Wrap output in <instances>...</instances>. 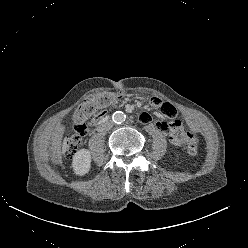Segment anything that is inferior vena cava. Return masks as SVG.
<instances>
[{
    "instance_id": "obj_1",
    "label": "inferior vena cava",
    "mask_w": 248,
    "mask_h": 248,
    "mask_svg": "<svg viewBox=\"0 0 248 248\" xmlns=\"http://www.w3.org/2000/svg\"><path fill=\"white\" fill-rule=\"evenodd\" d=\"M113 126V122L112 121H106L105 123H103L100 126L101 131H107L109 129H111Z\"/></svg>"
}]
</instances>
